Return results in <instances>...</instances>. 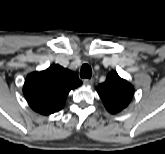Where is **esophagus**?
Instances as JSON below:
<instances>
[{"label":"esophagus","mask_w":165,"mask_h":154,"mask_svg":"<svg viewBox=\"0 0 165 154\" xmlns=\"http://www.w3.org/2000/svg\"><path fill=\"white\" fill-rule=\"evenodd\" d=\"M83 82L87 86H91L93 84V80L88 78L83 79Z\"/></svg>","instance_id":"esophagus-1"}]
</instances>
